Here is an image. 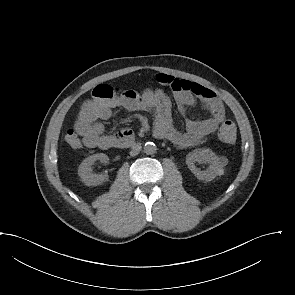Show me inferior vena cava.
<instances>
[{"label": "inferior vena cava", "mask_w": 295, "mask_h": 295, "mask_svg": "<svg viewBox=\"0 0 295 295\" xmlns=\"http://www.w3.org/2000/svg\"><path fill=\"white\" fill-rule=\"evenodd\" d=\"M140 150H141V146L138 145V144H136V145H134V146L132 147V150H131V152H130V155H131V156H136V155L139 154Z\"/></svg>", "instance_id": "inferior-vena-cava-1"}]
</instances>
